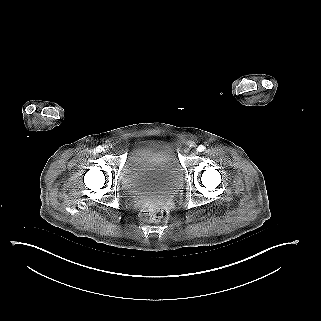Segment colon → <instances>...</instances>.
Returning a JSON list of instances; mask_svg holds the SVG:
<instances>
[{
	"instance_id": "colon-1",
	"label": "colon",
	"mask_w": 321,
	"mask_h": 321,
	"mask_svg": "<svg viewBox=\"0 0 321 321\" xmlns=\"http://www.w3.org/2000/svg\"><path fill=\"white\" fill-rule=\"evenodd\" d=\"M168 209L163 205H149L141 212V217L148 222H161L168 218Z\"/></svg>"
}]
</instances>
